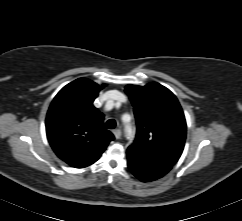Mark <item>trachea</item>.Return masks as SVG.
<instances>
[{"mask_svg":"<svg viewBox=\"0 0 242 221\" xmlns=\"http://www.w3.org/2000/svg\"><path fill=\"white\" fill-rule=\"evenodd\" d=\"M106 127L108 129H114L116 127V121L113 120V119H109L107 122H106Z\"/></svg>","mask_w":242,"mask_h":221,"instance_id":"trachea-1","label":"trachea"}]
</instances>
